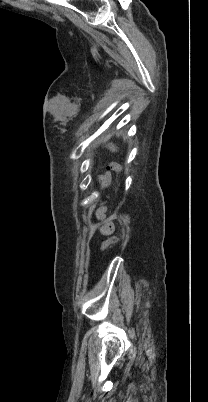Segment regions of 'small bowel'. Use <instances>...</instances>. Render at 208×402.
I'll use <instances>...</instances> for the list:
<instances>
[{
  "label": "small bowel",
  "instance_id": "c3829d8e",
  "mask_svg": "<svg viewBox=\"0 0 208 402\" xmlns=\"http://www.w3.org/2000/svg\"><path fill=\"white\" fill-rule=\"evenodd\" d=\"M109 178H110V175L106 174L104 176V181L109 180ZM97 217H98V219L100 221H102V224H101V227H100V232L103 235H110L111 233H113L114 225L111 222L105 220V210L104 209H101L98 212Z\"/></svg>",
  "mask_w": 208,
  "mask_h": 402
}]
</instances>
